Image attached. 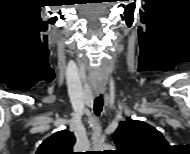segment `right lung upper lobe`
<instances>
[{"label":"right lung upper lobe","mask_w":190,"mask_h":154,"mask_svg":"<svg viewBox=\"0 0 190 154\" xmlns=\"http://www.w3.org/2000/svg\"><path fill=\"white\" fill-rule=\"evenodd\" d=\"M75 141L72 132L59 131L44 140L36 154H74L72 148Z\"/></svg>","instance_id":"right-lung-upper-lobe-1"}]
</instances>
